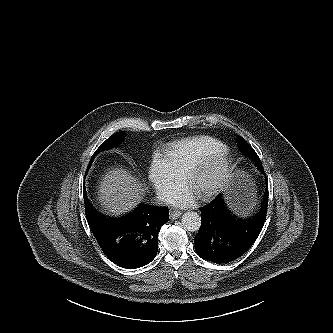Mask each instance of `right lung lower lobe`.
Returning a JSON list of instances; mask_svg holds the SVG:
<instances>
[{"label": "right lung lower lobe", "instance_id": "right-lung-lower-lobe-1", "mask_svg": "<svg viewBox=\"0 0 333 333\" xmlns=\"http://www.w3.org/2000/svg\"><path fill=\"white\" fill-rule=\"evenodd\" d=\"M88 225L106 256L118 266L139 268L157 255L158 232L169 220L166 207L140 204L120 217L101 214L84 192Z\"/></svg>", "mask_w": 333, "mask_h": 333}]
</instances>
